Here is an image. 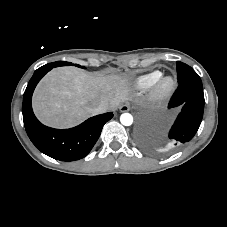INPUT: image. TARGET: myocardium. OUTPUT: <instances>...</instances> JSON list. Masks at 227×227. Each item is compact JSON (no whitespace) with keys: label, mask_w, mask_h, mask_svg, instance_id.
<instances>
[{"label":"myocardium","mask_w":227,"mask_h":227,"mask_svg":"<svg viewBox=\"0 0 227 227\" xmlns=\"http://www.w3.org/2000/svg\"><path fill=\"white\" fill-rule=\"evenodd\" d=\"M153 85V96L157 99H162L174 89L175 80L170 75H161Z\"/></svg>","instance_id":"1"}]
</instances>
